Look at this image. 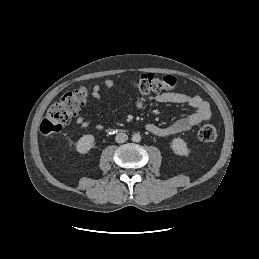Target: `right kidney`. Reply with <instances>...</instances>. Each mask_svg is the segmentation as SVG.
Instances as JSON below:
<instances>
[{
  "label": "right kidney",
  "instance_id": "obj_1",
  "mask_svg": "<svg viewBox=\"0 0 259 259\" xmlns=\"http://www.w3.org/2000/svg\"><path fill=\"white\" fill-rule=\"evenodd\" d=\"M95 137L91 134L83 135L76 143V150L80 154L88 153L94 147Z\"/></svg>",
  "mask_w": 259,
  "mask_h": 259
}]
</instances>
